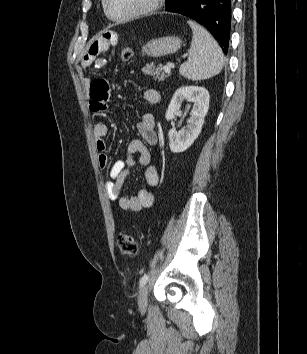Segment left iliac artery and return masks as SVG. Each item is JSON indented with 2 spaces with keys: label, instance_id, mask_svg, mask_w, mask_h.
<instances>
[{
  "label": "left iliac artery",
  "instance_id": "obj_1",
  "mask_svg": "<svg viewBox=\"0 0 307 354\" xmlns=\"http://www.w3.org/2000/svg\"><path fill=\"white\" fill-rule=\"evenodd\" d=\"M148 279H149V275L144 274L140 279V282H139L140 286L143 287L147 283Z\"/></svg>",
  "mask_w": 307,
  "mask_h": 354
}]
</instances>
